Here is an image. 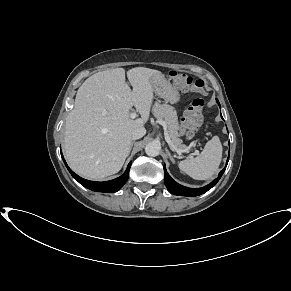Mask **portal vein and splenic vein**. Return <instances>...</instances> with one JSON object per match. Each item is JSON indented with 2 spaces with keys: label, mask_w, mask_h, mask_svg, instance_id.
Masks as SVG:
<instances>
[{
  "label": "portal vein and splenic vein",
  "mask_w": 291,
  "mask_h": 291,
  "mask_svg": "<svg viewBox=\"0 0 291 291\" xmlns=\"http://www.w3.org/2000/svg\"><path fill=\"white\" fill-rule=\"evenodd\" d=\"M130 118L134 119L136 118V113L133 112L130 114ZM158 123L161 124L164 128V135H165V140L166 142L168 143L169 147L171 148V150L177 152L179 155H181L182 153L184 152H187L188 151V148H185V149H180V148H177L171 141L170 137H169V134H168V130H167V125L166 123L163 121V120H158ZM199 154L198 151H195L194 153H192V155H197Z\"/></svg>",
  "instance_id": "obj_1"
}]
</instances>
